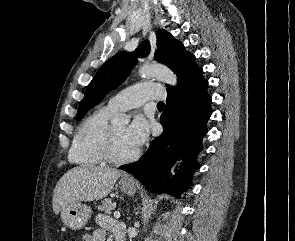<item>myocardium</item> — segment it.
I'll return each mask as SVG.
<instances>
[{
	"mask_svg": "<svg viewBox=\"0 0 295 241\" xmlns=\"http://www.w3.org/2000/svg\"><path fill=\"white\" fill-rule=\"evenodd\" d=\"M102 154L105 161L111 164H125L136 160L140 155V150L137 149L133 154L129 156H118L115 153V139L114 129L110 126L102 145Z\"/></svg>",
	"mask_w": 295,
	"mask_h": 241,
	"instance_id": "f54148a6",
	"label": "myocardium"
}]
</instances>
